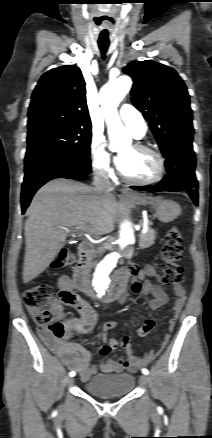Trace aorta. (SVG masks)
Masks as SVG:
<instances>
[{"label":"aorta","instance_id":"obj_1","mask_svg":"<svg viewBox=\"0 0 212 438\" xmlns=\"http://www.w3.org/2000/svg\"><path fill=\"white\" fill-rule=\"evenodd\" d=\"M130 77L121 75L118 78L105 84L99 93V102L102 113L108 126V133L111 140L110 148H114L117 137L126 132L117 112V106L131 89ZM135 235L132 224L129 220L123 219L120 225L118 244L121 250L132 244ZM120 252L108 254L91 273L90 282L97 293L98 298H104L109 285L110 275L121 258Z\"/></svg>","mask_w":212,"mask_h":438}]
</instances>
